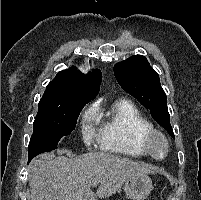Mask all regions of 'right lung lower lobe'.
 Instances as JSON below:
<instances>
[{
	"label": "right lung lower lobe",
	"instance_id": "right-lung-lower-lobe-1",
	"mask_svg": "<svg viewBox=\"0 0 201 200\" xmlns=\"http://www.w3.org/2000/svg\"><path fill=\"white\" fill-rule=\"evenodd\" d=\"M57 145H44V144H36V145H29L28 147V163L35 157L36 155L51 151L56 148Z\"/></svg>",
	"mask_w": 201,
	"mask_h": 200
}]
</instances>
